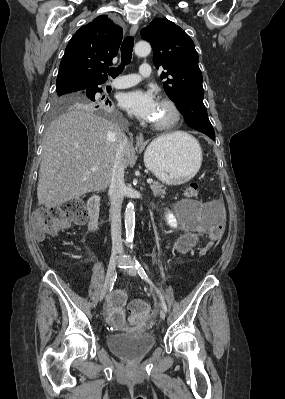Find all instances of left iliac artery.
<instances>
[{"label":"left iliac artery","instance_id":"1","mask_svg":"<svg viewBox=\"0 0 285 399\" xmlns=\"http://www.w3.org/2000/svg\"><path fill=\"white\" fill-rule=\"evenodd\" d=\"M135 268H136L138 274L140 275V277L143 280H145L146 282H148L150 284V286L153 287L156 290L157 294L160 296V299H161V307H162V309L165 312H167V306H166V303L163 300V297L161 296L160 291L155 287L154 283L148 278L145 270L143 269V267L141 266V264L137 260H135Z\"/></svg>","mask_w":285,"mask_h":399}]
</instances>
